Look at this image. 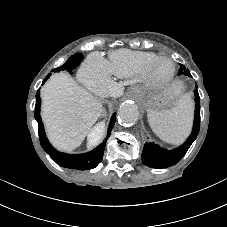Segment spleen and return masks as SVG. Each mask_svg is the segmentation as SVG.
<instances>
[{
    "instance_id": "3e777b00",
    "label": "spleen",
    "mask_w": 227,
    "mask_h": 227,
    "mask_svg": "<svg viewBox=\"0 0 227 227\" xmlns=\"http://www.w3.org/2000/svg\"><path fill=\"white\" fill-rule=\"evenodd\" d=\"M191 106L185 97L174 103L170 109L148 111V121L153 132L164 142L181 144L191 129Z\"/></svg>"
}]
</instances>
